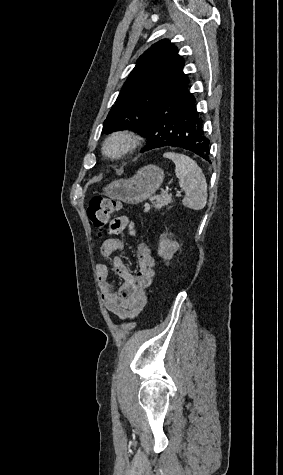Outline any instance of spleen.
<instances>
[{
  "mask_svg": "<svg viewBox=\"0 0 283 475\" xmlns=\"http://www.w3.org/2000/svg\"><path fill=\"white\" fill-rule=\"evenodd\" d=\"M164 158L172 160L175 164V174L179 180V186L184 190L183 206L191 210H203L207 204V182L198 164L175 152H166Z\"/></svg>",
  "mask_w": 283,
  "mask_h": 475,
  "instance_id": "obj_1",
  "label": "spleen"
}]
</instances>
